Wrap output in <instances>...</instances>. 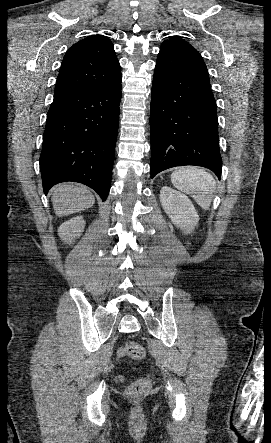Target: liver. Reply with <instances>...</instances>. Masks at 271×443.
Returning <instances> with one entry per match:
<instances>
[{
  "label": "liver",
  "mask_w": 271,
  "mask_h": 443,
  "mask_svg": "<svg viewBox=\"0 0 271 443\" xmlns=\"http://www.w3.org/2000/svg\"><path fill=\"white\" fill-rule=\"evenodd\" d=\"M52 204L57 216L75 214L95 204V198L87 188L59 186L52 194Z\"/></svg>",
  "instance_id": "1"
}]
</instances>
